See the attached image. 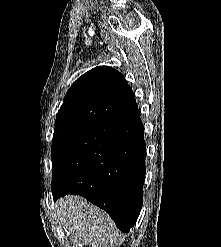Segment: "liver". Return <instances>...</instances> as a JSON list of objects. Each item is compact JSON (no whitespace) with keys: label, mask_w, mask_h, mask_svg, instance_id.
I'll list each match as a JSON object with an SVG mask.
<instances>
[{"label":"liver","mask_w":221,"mask_h":247,"mask_svg":"<svg viewBox=\"0 0 221 247\" xmlns=\"http://www.w3.org/2000/svg\"><path fill=\"white\" fill-rule=\"evenodd\" d=\"M55 212L60 223L83 245L119 247L124 240L109 216L83 197L68 195L59 199Z\"/></svg>","instance_id":"liver-1"}]
</instances>
